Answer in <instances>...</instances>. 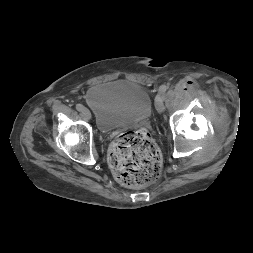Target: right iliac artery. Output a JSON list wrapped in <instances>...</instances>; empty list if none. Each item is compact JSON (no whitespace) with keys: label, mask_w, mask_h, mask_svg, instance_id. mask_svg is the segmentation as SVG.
Masks as SVG:
<instances>
[{"label":"right iliac artery","mask_w":253,"mask_h":253,"mask_svg":"<svg viewBox=\"0 0 253 253\" xmlns=\"http://www.w3.org/2000/svg\"><path fill=\"white\" fill-rule=\"evenodd\" d=\"M76 109L81 112L84 109V106L82 104L78 103V104H76Z\"/></svg>","instance_id":"right-iliac-artery-1"}]
</instances>
